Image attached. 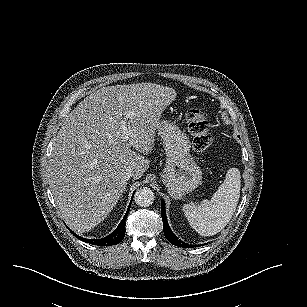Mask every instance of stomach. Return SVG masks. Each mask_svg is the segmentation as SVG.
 <instances>
[{
	"label": "stomach",
	"mask_w": 307,
	"mask_h": 307,
	"mask_svg": "<svg viewBox=\"0 0 307 307\" xmlns=\"http://www.w3.org/2000/svg\"><path fill=\"white\" fill-rule=\"evenodd\" d=\"M156 131L166 155L163 182L169 194L180 197L193 191L202 183V169L191 155L188 136L168 118L160 120Z\"/></svg>",
	"instance_id": "obj_1"
}]
</instances>
